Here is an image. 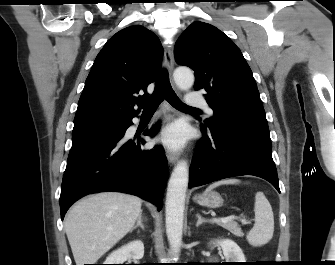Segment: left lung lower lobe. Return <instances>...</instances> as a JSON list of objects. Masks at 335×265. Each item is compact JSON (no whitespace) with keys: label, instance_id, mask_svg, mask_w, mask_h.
I'll return each instance as SVG.
<instances>
[{"label":"left lung lower lobe","instance_id":"0a47b994","mask_svg":"<svg viewBox=\"0 0 335 265\" xmlns=\"http://www.w3.org/2000/svg\"><path fill=\"white\" fill-rule=\"evenodd\" d=\"M190 166L189 187L216 180L254 175L270 182L278 192L271 140L239 129L217 126L203 130Z\"/></svg>","mask_w":335,"mask_h":265}]
</instances>
